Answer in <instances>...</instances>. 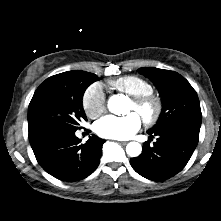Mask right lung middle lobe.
Masks as SVG:
<instances>
[{
	"instance_id": "1",
	"label": "right lung middle lobe",
	"mask_w": 221,
	"mask_h": 221,
	"mask_svg": "<svg viewBox=\"0 0 221 221\" xmlns=\"http://www.w3.org/2000/svg\"><path fill=\"white\" fill-rule=\"evenodd\" d=\"M93 73L73 70L46 79L35 91L28 107L29 137L54 130L78 129L86 115L82 98L86 88L97 81Z\"/></svg>"
}]
</instances>
